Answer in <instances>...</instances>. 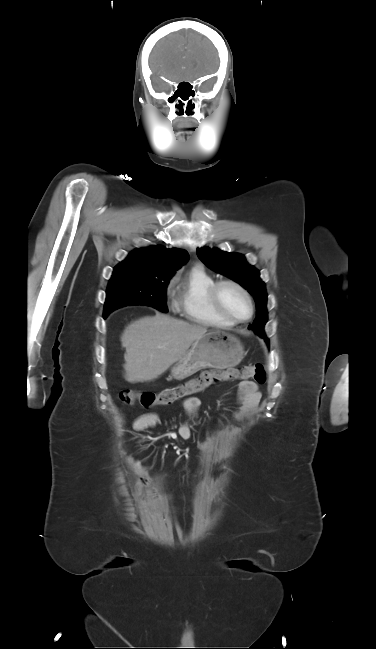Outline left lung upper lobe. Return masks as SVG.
<instances>
[{
  "instance_id": "obj_1",
  "label": "left lung upper lobe",
  "mask_w": 376,
  "mask_h": 649,
  "mask_svg": "<svg viewBox=\"0 0 376 649\" xmlns=\"http://www.w3.org/2000/svg\"><path fill=\"white\" fill-rule=\"evenodd\" d=\"M198 257L212 270L223 274L246 288L255 298L257 315L252 326L259 336H265L264 325L267 322V293L264 282L259 277V271L246 263L239 253H229L219 249H198Z\"/></svg>"
}]
</instances>
